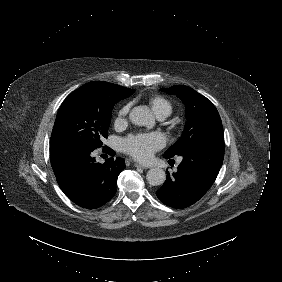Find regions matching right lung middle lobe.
<instances>
[{
	"mask_svg": "<svg viewBox=\"0 0 282 282\" xmlns=\"http://www.w3.org/2000/svg\"><path fill=\"white\" fill-rule=\"evenodd\" d=\"M134 91L102 81L89 82L73 91L58 110L50 155L74 148L101 147V139L108 136L114 104Z\"/></svg>",
	"mask_w": 282,
	"mask_h": 282,
	"instance_id": "obj_1",
	"label": "right lung middle lobe"
}]
</instances>
